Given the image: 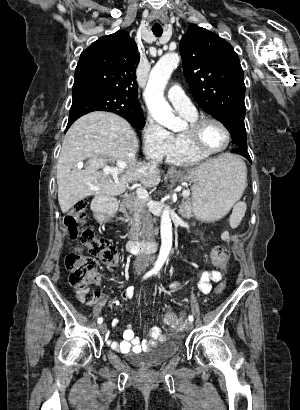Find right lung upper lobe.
Wrapping results in <instances>:
<instances>
[{
	"instance_id": "right-lung-upper-lobe-1",
	"label": "right lung upper lobe",
	"mask_w": 300,
	"mask_h": 410,
	"mask_svg": "<svg viewBox=\"0 0 300 410\" xmlns=\"http://www.w3.org/2000/svg\"><path fill=\"white\" fill-rule=\"evenodd\" d=\"M136 43L124 31L101 37L84 50L75 69L73 85L91 84L117 95L125 115L142 112L137 100Z\"/></svg>"
}]
</instances>
